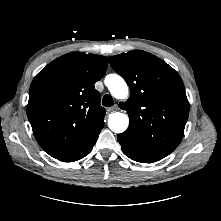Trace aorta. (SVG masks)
<instances>
[{"mask_svg":"<svg viewBox=\"0 0 221 221\" xmlns=\"http://www.w3.org/2000/svg\"><path fill=\"white\" fill-rule=\"evenodd\" d=\"M105 85L108 87L112 96L119 100L127 99L128 86L124 79L117 74H109L105 78ZM129 125L127 114L115 112L109 116L108 126L115 133H123Z\"/></svg>","mask_w":221,"mask_h":221,"instance_id":"1","label":"aorta"}]
</instances>
